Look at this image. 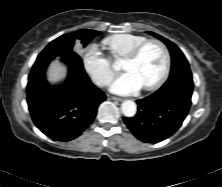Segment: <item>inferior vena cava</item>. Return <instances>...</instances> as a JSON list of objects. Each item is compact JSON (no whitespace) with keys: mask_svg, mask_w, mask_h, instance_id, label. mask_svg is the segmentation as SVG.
<instances>
[{"mask_svg":"<svg viewBox=\"0 0 222 187\" xmlns=\"http://www.w3.org/2000/svg\"><path fill=\"white\" fill-rule=\"evenodd\" d=\"M108 83H109L108 80H103V81L100 82L101 85L108 84Z\"/></svg>","mask_w":222,"mask_h":187,"instance_id":"602c4592","label":"inferior vena cava"}]
</instances>
